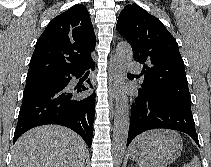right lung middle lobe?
<instances>
[{
  "label": "right lung middle lobe",
  "instance_id": "1",
  "mask_svg": "<svg viewBox=\"0 0 211 167\" xmlns=\"http://www.w3.org/2000/svg\"><path fill=\"white\" fill-rule=\"evenodd\" d=\"M55 86H56V83L54 80L48 77H44V78L27 81L24 91L41 89V88H49V87H55Z\"/></svg>",
  "mask_w": 211,
  "mask_h": 167
}]
</instances>
